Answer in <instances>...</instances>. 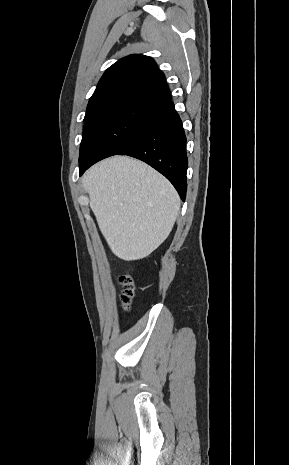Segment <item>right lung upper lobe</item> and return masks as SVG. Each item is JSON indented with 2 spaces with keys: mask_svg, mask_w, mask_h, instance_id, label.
I'll return each mask as SVG.
<instances>
[{
  "mask_svg": "<svg viewBox=\"0 0 289 465\" xmlns=\"http://www.w3.org/2000/svg\"><path fill=\"white\" fill-rule=\"evenodd\" d=\"M170 99L165 75L155 61L141 54L129 55L105 71L89 100L85 118L118 103L164 105Z\"/></svg>",
  "mask_w": 289,
  "mask_h": 465,
  "instance_id": "1",
  "label": "right lung upper lobe"
}]
</instances>
